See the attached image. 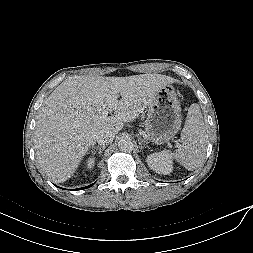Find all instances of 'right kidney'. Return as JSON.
<instances>
[{
    "instance_id": "obj_1",
    "label": "right kidney",
    "mask_w": 253,
    "mask_h": 253,
    "mask_svg": "<svg viewBox=\"0 0 253 253\" xmlns=\"http://www.w3.org/2000/svg\"><path fill=\"white\" fill-rule=\"evenodd\" d=\"M86 164H87L86 166L88 169H92L95 165V158L93 157L88 158Z\"/></svg>"
}]
</instances>
